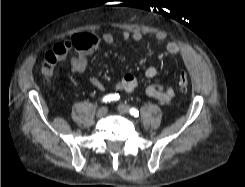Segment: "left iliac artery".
I'll list each match as a JSON object with an SVG mask.
<instances>
[{"mask_svg": "<svg viewBox=\"0 0 245 187\" xmlns=\"http://www.w3.org/2000/svg\"><path fill=\"white\" fill-rule=\"evenodd\" d=\"M129 112L134 117H138L139 116V111L136 108H131Z\"/></svg>", "mask_w": 245, "mask_h": 187, "instance_id": "44dca946", "label": "left iliac artery"}]
</instances>
